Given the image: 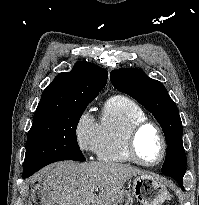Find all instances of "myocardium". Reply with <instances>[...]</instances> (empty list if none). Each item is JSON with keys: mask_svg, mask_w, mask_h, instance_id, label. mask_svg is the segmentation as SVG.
Returning a JSON list of instances; mask_svg holds the SVG:
<instances>
[{"mask_svg": "<svg viewBox=\"0 0 199 205\" xmlns=\"http://www.w3.org/2000/svg\"><path fill=\"white\" fill-rule=\"evenodd\" d=\"M147 127H152L157 131V133L159 134L160 140H161V144H162L161 155L159 159L155 162H146L142 160L137 151L138 135L140 134L142 130H144ZM126 151L129 157L131 158V160L137 164H140L146 167L157 166L163 162V160L166 157L167 151H168V142H167L166 135L163 129L161 128V126L152 120L145 119L143 121L137 122L130 128L127 134Z\"/></svg>", "mask_w": 199, "mask_h": 205, "instance_id": "f54148a6", "label": "myocardium"}]
</instances>
